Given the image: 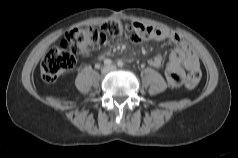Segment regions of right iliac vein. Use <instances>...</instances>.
<instances>
[{
    "mask_svg": "<svg viewBox=\"0 0 238 158\" xmlns=\"http://www.w3.org/2000/svg\"><path fill=\"white\" fill-rule=\"evenodd\" d=\"M108 71H109V68H108V67H104V68L102 69V73H103V74L108 73Z\"/></svg>",
    "mask_w": 238,
    "mask_h": 158,
    "instance_id": "1",
    "label": "right iliac vein"
}]
</instances>
